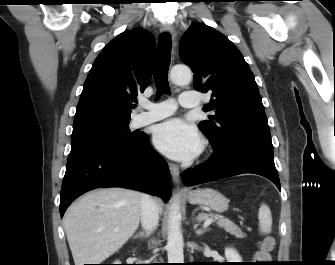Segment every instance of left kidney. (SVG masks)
Segmentation results:
<instances>
[{
  "label": "left kidney",
  "mask_w": 335,
  "mask_h": 265,
  "mask_svg": "<svg viewBox=\"0 0 335 265\" xmlns=\"http://www.w3.org/2000/svg\"><path fill=\"white\" fill-rule=\"evenodd\" d=\"M225 257L228 262H241L242 258L238 252L233 248L225 249Z\"/></svg>",
  "instance_id": "left-kidney-1"
}]
</instances>
